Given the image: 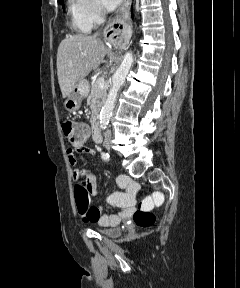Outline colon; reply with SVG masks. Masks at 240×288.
<instances>
[{
	"label": "colon",
	"instance_id": "colon-1",
	"mask_svg": "<svg viewBox=\"0 0 240 288\" xmlns=\"http://www.w3.org/2000/svg\"><path fill=\"white\" fill-rule=\"evenodd\" d=\"M62 131L65 138L72 144L83 142L86 131L82 124L71 120L62 123ZM134 223L140 228H148L155 223L156 217L151 211L138 209L133 215Z\"/></svg>",
	"mask_w": 240,
	"mask_h": 288
}]
</instances>
